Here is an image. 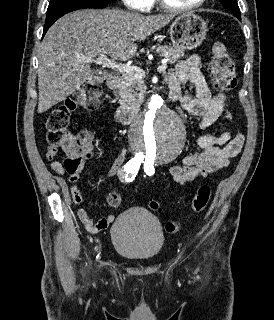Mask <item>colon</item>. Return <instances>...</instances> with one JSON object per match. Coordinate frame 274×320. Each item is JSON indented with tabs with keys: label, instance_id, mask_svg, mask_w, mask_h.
<instances>
[{
	"label": "colon",
	"instance_id": "5ec220e1",
	"mask_svg": "<svg viewBox=\"0 0 274 320\" xmlns=\"http://www.w3.org/2000/svg\"><path fill=\"white\" fill-rule=\"evenodd\" d=\"M210 74L218 91L228 93L236 82V69L227 48L217 42L212 48V57L209 64ZM99 91L94 85H87L75 92L68 101L54 108L47 120L48 149L61 147L66 153L63 166L67 174L75 175L82 168L83 160L94 147L93 134L90 131L72 132L68 125L74 112L80 109L93 111L98 106ZM210 199V188L202 185L195 193L191 208L193 212L203 211ZM108 200L113 208H119L122 200L117 193H111ZM148 208L162 211L156 200L148 201ZM165 230L174 234L179 231V223L174 220L166 221Z\"/></svg>",
	"mask_w": 274,
	"mask_h": 320
}]
</instances>
